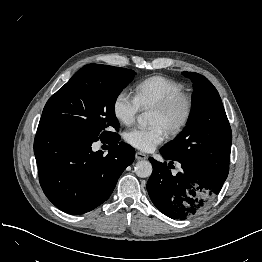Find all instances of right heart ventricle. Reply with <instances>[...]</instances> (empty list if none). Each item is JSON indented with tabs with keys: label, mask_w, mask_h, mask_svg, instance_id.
<instances>
[{
	"label": "right heart ventricle",
	"mask_w": 262,
	"mask_h": 262,
	"mask_svg": "<svg viewBox=\"0 0 262 262\" xmlns=\"http://www.w3.org/2000/svg\"><path fill=\"white\" fill-rule=\"evenodd\" d=\"M182 85L166 76L155 75L139 82L134 89V98L142 109L152 108L162 100L182 93Z\"/></svg>",
	"instance_id": "1"
}]
</instances>
